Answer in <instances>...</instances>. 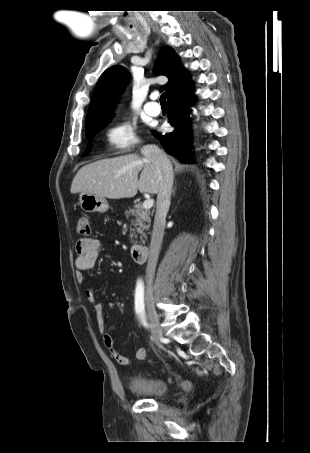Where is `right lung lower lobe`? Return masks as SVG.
<instances>
[{
	"label": "right lung lower lobe",
	"instance_id": "1",
	"mask_svg": "<svg viewBox=\"0 0 310 453\" xmlns=\"http://www.w3.org/2000/svg\"><path fill=\"white\" fill-rule=\"evenodd\" d=\"M192 103V87L186 74L170 91L167 96L168 122L174 131L165 135L153 132L160 140L165 151L176 156L181 162H192L190 157V121L188 107Z\"/></svg>",
	"mask_w": 310,
	"mask_h": 453
}]
</instances>
